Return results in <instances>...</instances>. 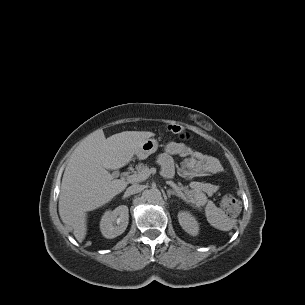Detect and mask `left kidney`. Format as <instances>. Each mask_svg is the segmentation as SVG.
Here are the masks:
<instances>
[{"mask_svg": "<svg viewBox=\"0 0 305 305\" xmlns=\"http://www.w3.org/2000/svg\"><path fill=\"white\" fill-rule=\"evenodd\" d=\"M178 221L181 227L190 235L197 236L199 232V223L196 218L187 211L178 213Z\"/></svg>", "mask_w": 305, "mask_h": 305, "instance_id": "left-kidney-1", "label": "left kidney"}]
</instances>
